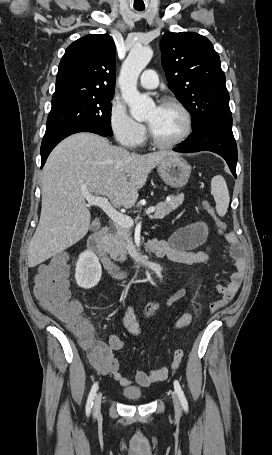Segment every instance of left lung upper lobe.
<instances>
[{
	"label": "left lung upper lobe",
	"mask_w": 272,
	"mask_h": 455,
	"mask_svg": "<svg viewBox=\"0 0 272 455\" xmlns=\"http://www.w3.org/2000/svg\"><path fill=\"white\" fill-rule=\"evenodd\" d=\"M168 86L192 116V129L231 117L220 57L212 43L195 32L166 33L160 41Z\"/></svg>",
	"instance_id": "1"
}]
</instances>
